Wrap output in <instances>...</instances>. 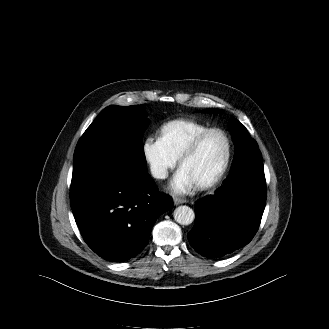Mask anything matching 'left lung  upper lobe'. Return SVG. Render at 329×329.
<instances>
[{
  "mask_svg": "<svg viewBox=\"0 0 329 329\" xmlns=\"http://www.w3.org/2000/svg\"><path fill=\"white\" fill-rule=\"evenodd\" d=\"M204 111L213 112L215 109L210 108ZM232 136L235 143L234 161L241 159L247 160L248 165L263 164L258 144L238 120L232 123ZM218 193L219 191L217 190L216 195H218Z\"/></svg>",
  "mask_w": 329,
  "mask_h": 329,
  "instance_id": "obj_1",
  "label": "left lung upper lobe"
}]
</instances>
